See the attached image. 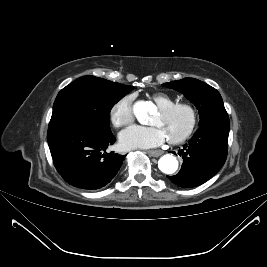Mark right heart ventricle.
<instances>
[{
  "label": "right heart ventricle",
  "instance_id": "obj_1",
  "mask_svg": "<svg viewBox=\"0 0 267 267\" xmlns=\"http://www.w3.org/2000/svg\"><path fill=\"white\" fill-rule=\"evenodd\" d=\"M151 98L158 108H162L176 102L174 98L165 93H155Z\"/></svg>",
  "mask_w": 267,
  "mask_h": 267
}]
</instances>
